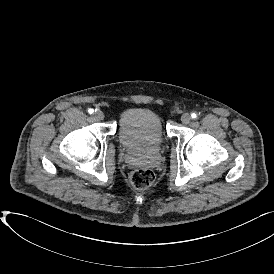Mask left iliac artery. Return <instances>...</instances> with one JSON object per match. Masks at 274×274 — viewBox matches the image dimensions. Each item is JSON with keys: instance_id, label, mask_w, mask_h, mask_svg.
<instances>
[{"instance_id": "44dca946", "label": "left iliac artery", "mask_w": 274, "mask_h": 274, "mask_svg": "<svg viewBox=\"0 0 274 274\" xmlns=\"http://www.w3.org/2000/svg\"><path fill=\"white\" fill-rule=\"evenodd\" d=\"M191 117H192L193 119H195V118H197V114H196V113H192V114H191Z\"/></svg>"}]
</instances>
